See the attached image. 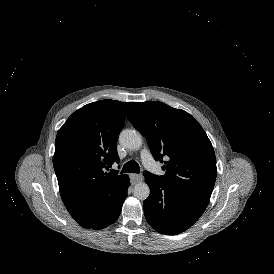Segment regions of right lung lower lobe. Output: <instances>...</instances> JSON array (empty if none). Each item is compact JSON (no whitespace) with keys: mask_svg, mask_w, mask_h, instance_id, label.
<instances>
[{"mask_svg":"<svg viewBox=\"0 0 274 274\" xmlns=\"http://www.w3.org/2000/svg\"><path fill=\"white\" fill-rule=\"evenodd\" d=\"M129 185L130 181L127 176L119 186L112 189L110 193L104 197L100 207L95 212L74 219L81 226L94 230L103 229L113 224L121 213Z\"/></svg>","mask_w":274,"mask_h":274,"instance_id":"right-lung-lower-lobe-1","label":"right lung lower lobe"}]
</instances>
